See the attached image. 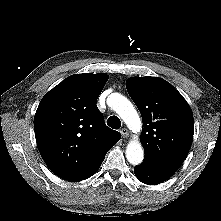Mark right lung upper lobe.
<instances>
[{"label": "right lung upper lobe", "instance_id": "obj_1", "mask_svg": "<svg viewBox=\"0 0 221 221\" xmlns=\"http://www.w3.org/2000/svg\"><path fill=\"white\" fill-rule=\"evenodd\" d=\"M106 74L63 80L41 100L34 117L40 154L57 176L72 182L89 177L121 134L105 125L96 106Z\"/></svg>", "mask_w": 221, "mask_h": 221}]
</instances>
